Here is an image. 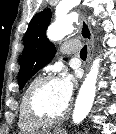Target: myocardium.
I'll list each match as a JSON object with an SVG mask.
<instances>
[{"mask_svg":"<svg viewBox=\"0 0 116 134\" xmlns=\"http://www.w3.org/2000/svg\"><path fill=\"white\" fill-rule=\"evenodd\" d=\"M54 81H57V78L54 75H45L39 78L38 81L31 87L26 96V110L29 116L37 122L43 124L60 122L67 118L71 112L72 107L70 104L67 106L65 111L60 114L49 113L40 107L39 97L41 93L49 83Z\"/></svg>","mask_w":116,"mask_h":134,"instance_id":"obj_1","label":"myocardium"}]
</instances>
